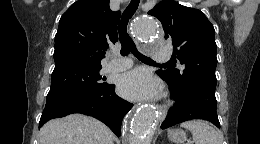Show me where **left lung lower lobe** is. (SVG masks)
Returning <instances> with one entry per match:
<instances>
[{
	"label": "left lung lower lobe",
	"instance_id": "obj_1",
	"mask_svg": "<svg viewBox=\"0 0 260 144\" xmlns=\"http://www.w3.org/2000/svg\"><path fill=\"white\" fill-rule=\"evenodd\" d=\"M170 91L175 104L169 109L165 120L162 122V129L194 119L212 122L220 128L215 94L194 87H189L180 92Z\"/></svg>",
	"mask_w": 260,
	"mask_h": 144
}]
</instances>
